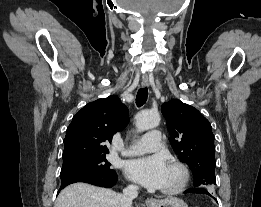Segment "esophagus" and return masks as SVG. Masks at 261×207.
I'll return each mask as SVG.
<instances>
[{"label": "esophagus", "mask_w": 261, "mask_h": 207, "mask_svg": "<svg viewBox=\"0 0 261 207\" xmlns=\"http://www.w3.org/2000/svg\"><path fill=\"white\" fill-rule=\"evenodd\" d=\"M141 85H142V87L148 86L149 85V79L147 77H144L141 81ZM145 202H146L147 205H152V204L155 203V200L152 199V198H148V199H146Z\"/></svg>", "instance_id": "1"}]
</instances>
